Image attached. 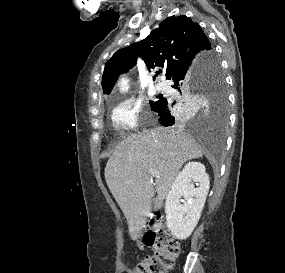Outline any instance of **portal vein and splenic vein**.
<instances>
[{"label": "portal vein and splenic vein", "mask_w": 285, "mask_h": 273, "mask_svg": "<svg viewBox=\"0 0 285 273\" xmlns=\"http://www.w3.org/2000/svg\"><path fill=\"white\" fill-rule=\"evenodd\" d=\"M150 176L158 178L160 176V173L157 170H151L150 171Z\"/></svg>", "instance_id": "1"}]
</instances>
